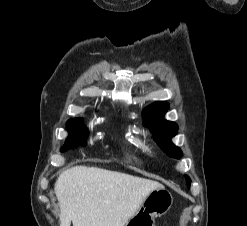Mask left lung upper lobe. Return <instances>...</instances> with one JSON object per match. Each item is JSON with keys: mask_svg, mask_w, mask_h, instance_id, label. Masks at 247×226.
Listing matches in <instances>:
<instances>
[{"mask_svg": "<svg viewBox=\"0 0 247 226\" xmlns=\"http://www.w3.org/2000/svg\"><path fill=\"white\" fill-rule=\"evenodd\" d=\"M168 109L166 102H156L150 105L144 111V125L149 127L152 131L154 139L160 148L170 157L180 159L182 151L171 142V138L176 135L178 126L176 123L163 119L165 112ZM188 186L191 180L185 175Z\"/></svg>", "mask_w": 247, "mask_h": 226, "instance_id": "obj_1", "label": "left lung upper lobe"}]
</instances>
